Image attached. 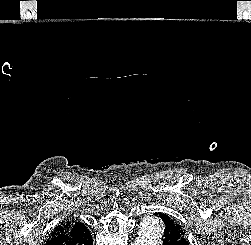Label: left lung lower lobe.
<instances>
[{
	"instance_id": "left-lung-lower-lobe-1",
	"label": "left lung lower lobe",
	"mask_w": 251,
	"mask_h": 245,
	"mask_svg": "<svg viewBox=\"0 0 251 245\" xmlns=\"http://www.w3.org/2000/svg\"><path fill=\"white\" fill-rule=\"evenodd\" d=\"M155 215L161 218V223L163 225V245H189L186 238L182 236L181 232H179L176 227L169 222H167V225L164 224L162 218L167 221L168 215L164 213H155Z\"/></svg>"
}]
</instances>
